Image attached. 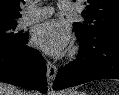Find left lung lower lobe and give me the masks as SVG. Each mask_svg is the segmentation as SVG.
<instances>
[{"label":"left lung lower lobe","instance_id":"1","mask_svg":"<svg viewBox=\"0 0 119 95\" xmlns=\"http://www.w3.org/2000/svg\"><path fill=\"white\" fill-rule=\"evenodd\" d=\"M80 42L77 60L59 69L54 89L76 86L96 79H119V37Z\"/></svg>","mask_w":119,"mask_h":95}]
</instances>
